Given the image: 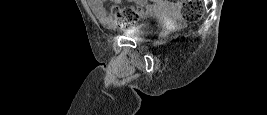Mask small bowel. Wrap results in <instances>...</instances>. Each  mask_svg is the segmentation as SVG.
<instances>
[{"label": "small bowel", "instance_id": "1", "mask_svg": "<svg viewBox=\"0 0 267 115\" xmlns=\"http://www.w3.org/2000/svg\"><path fill=\"white\" fill-rule=\"evenodd\" d=\"M129 2L138 6H146L147 12L155 15H164L178 9L176 4L164 0H153L151 3L144 0H129ZM89 5L97 17L101 19H106L108 17L103 0H90Z\"/></svg>", "mask_w": 267, "mask_h": 115}]
</instances>
